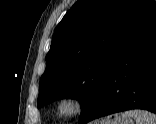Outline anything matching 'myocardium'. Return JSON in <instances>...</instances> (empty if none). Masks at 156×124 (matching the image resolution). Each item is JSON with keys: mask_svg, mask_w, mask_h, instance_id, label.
<instances>
[{"mask_svg": "<svg viewBox=\"0 0 156 124\" xmlns=\"http://www.w3.org/2000/svg\"><path fill=\"white\" fill-rule=\"evenodd\" d=\"M64 104H70L71 109L63 110ZM88 107L87 98L76 92H68L60 95L53 104L55 114L61 119H75L84 114Z\"/></svg>", "mask_w": 156, "mask_h": 124, "instance_id": "obj_1", "label": "myocardium"}]
</instances>
